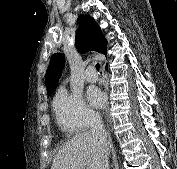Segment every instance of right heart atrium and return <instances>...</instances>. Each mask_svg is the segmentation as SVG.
Listing matches in <instances>:
<instances>
[{"instance_id": "obj_1", "label": "right heart atrium", "mask_w": 177, "mask_h": 169, "mask_svg": "<svg viewBox=\"0 0 177 169\" xmlns=\"http://www.w3.org/2000/svg\"><path fill=\"white\" fill-rule=\"evenodd\" d=\"M53 111L60 129L69 134L84 130L98 118L80 93L61 87L53 100Z\"/></svg>"}]
</instances>
